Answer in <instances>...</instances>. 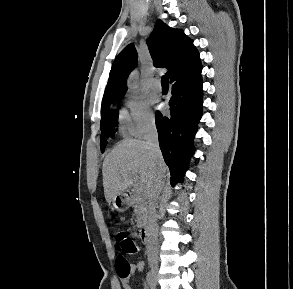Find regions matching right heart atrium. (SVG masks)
Segmentation results:
<instances>
[{"instance_id": "d8ad5b80", "label": "right heart atrium", "mask_w": 293, "mask_h": 289, "mask_svg": "<svg viewBox=\"0 0 293 289\" xmlns=\"http://www.w3.org/2000/svg\"><path fill=\"white\" fill-rule=\"evenodd\" d=\"M125 114L133 135L142 137L156 126L154 114L149 102L136 93H128L125 97Z\"/></svg>"}]
</instances>
